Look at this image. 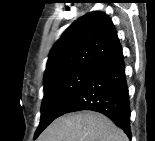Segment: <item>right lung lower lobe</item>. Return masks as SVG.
Returning <instances> with one entry per match:
<instances>
[{"label": "right lung lower lobe", "mask_w": 155, "mask_h": 141, "mask_svg": "<svg viewBox=\"0 0 155 141\" xmlns=\"http://www.w3.org/2000/svg\"><path fill=\"white\" fill-rule=\"evenodd\" d=\"M81 110L106 115L131 138L130 102L120 43L98 64L59 116Z\"/></svg>", "instance_id": "1"}]
</instances>
